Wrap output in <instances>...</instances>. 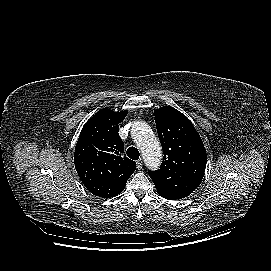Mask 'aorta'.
I'll use <instances>...</instances> for the list:
<instances>
[{"mask_svg": "<svg viewBox=\"0 0 271 271\" xmlns=\"http://www.w3.org/2000/svg\"><path fill=\"white\" fill-rule=\"evenodd\" d=\"M131 136L142 152L144 162L150 169H157L161 164L160 143L149 125L142 121L134 122Z\"/></svg>", "mask_w": 271, "mask_h": 271, "instance_id": "aorta-1", "label": "aorta"}]
</instances>
